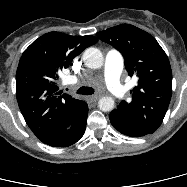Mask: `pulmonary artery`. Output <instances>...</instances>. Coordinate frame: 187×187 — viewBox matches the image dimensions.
<instances>
[{
    "label": "pulmonary artery",
    "mask_w": 187,
    "mask_h": 187,
    "mask_svg": "<svg viewBox=\"0 0 187 187\" xmlns=\"http://www.w3.org/2000/svg\"><path fill=\"white\" fill-rule=\"evenodd\" d=\"M122 69L123 58L121 54L116 50H110L105 58L104 77L108 89L117 97H122L125 94L124 86L120 82ZM75 81L76 79L73 82Z\"/></svg>",
    "instance_id": "1"
}]
</instances>
